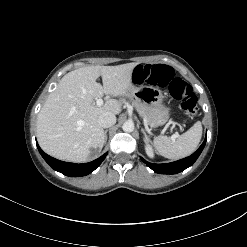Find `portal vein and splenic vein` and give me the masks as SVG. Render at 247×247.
Returning <instances> with one entry per match:
<instances>
[{"mask_svg": "<svg viewBox=\"0 0 247 247\" xmlns=\"http://www.w3.org/2000/svg\"><path fill=\"white\" fill-rule=\"evenodd\" d=\"M96 104H97V106H102V105H103V100H102L101 98L97 99V100H96ZM178 136H179V134L176 133V134H174V135L172 136V139H176Z\"/></svg>", "mask_w": 247, "mask_h": 247, "instance_id": "18ae733b", "label": "portal vein and splenic vein"}]
</instances>
